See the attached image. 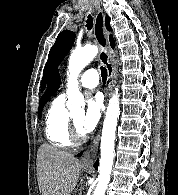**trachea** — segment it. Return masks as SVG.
<instances>
[{
    "label": "trachea",
    "mask_w": 178,
    "mask_h": 195,
    "mask_svg": "<svg viewBox=\"0 0 178 195\" xmlns=\"http://www.w3.org/2000/svg\"><path fill=\"white\" fill-rule=\"evenodd\" d=\"M92 26H93V18L91 15H88V19L86 21V27L88 28V30H91ZM100 69H101V76H102L103 83H106L107 76H108L107 70L104 67H100Z\"/></svg>",
    "instance_id": "3493384b"
}]
</instances>
